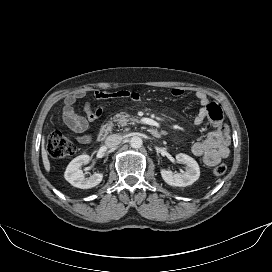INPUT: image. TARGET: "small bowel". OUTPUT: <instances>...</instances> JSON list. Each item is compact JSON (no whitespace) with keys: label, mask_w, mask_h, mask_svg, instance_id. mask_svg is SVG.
Here are the masks:
<instances>
[{"label":"small bowel","mask_w":272,"mask_h":272,"mask_svg":"<svg viewBox=\"0 0 272 272\" xmlns=\"http://www.w3.org/2000/svg\"><path fill=\"white\" fill-rule=\"evenodd\" d=\"M174 97H182L185 91L182 88L176 87L171 90ZM196 98L200 103V109L195 116L194 123L202 125L205 121H209L213 129L208 136L201 141L191 145V152L202 158L205 165L212 167L217 165L222 159L229 156V131L227 126L222 123V110L214 102L208 100L206 95L197 91ZM94 98L97 101L95 109L91 107L89 97L83 91L68 95L64 100L62 108L63 124L77 136L80 143H88L92 139V134L89 132L91 124L99 119L102 115V102L115 99L125 98L132 101H139L140 95L135 91L118 90L115 92L96 91ZM78 100H85L84 115H79L74 111V105Z\"/></svg>","instance_id":"obj_1"}]
</instances>
